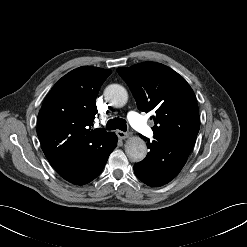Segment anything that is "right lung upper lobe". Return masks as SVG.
<instances>
[{
  "mask_svg": "<svg viewBox=\"0 0 247 247\" xmlns=\"http://www.w3.org/2000/svg\"><path fill=\"white\" fill-rule=\"evenodd\" d=\"M110 70L82 66L56 82L38 114L37 134L42 150L56 169L100 147L112 135L101 128L91 130L96 97Z\"/></svg>",
  "mask_w": 247,
  "mask_h": 247,
  "instance_id": "obj_1",
  "label": "right lung upper lobe"
}]
</instances>
